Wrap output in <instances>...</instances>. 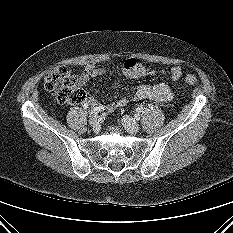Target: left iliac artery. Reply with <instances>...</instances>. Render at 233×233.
<instances>
[{
    "label": "left iliac artery",
    "mask_w": 233,
    "mask_h": 233,
    "mask_svg": "<svg viewBox=\"0 0 233 233\" xmlns=\"http://www.w3.org/2000/svg\"><path fill=\"white\" fill-rule=\"evenodd\" d=\"M152 108V107H151ZM143 110H144V106L143 105H140V106H138L137 108H136V111L137 112H143Z\"/></svg>",
    "instance_id": "obj_1"
}]
</instances>
